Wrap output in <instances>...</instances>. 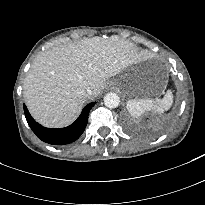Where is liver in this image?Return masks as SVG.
<instances>
[{
    "mask_svg": "<svg viewBox=\"0 0 205 205\" xmlns=\"http://www.w3.org/2000/svg\"><path fill=\"white\" fill-rule=\"evenodd\" d=\"M132 42L116 35L84 38L37 55L23 85L31 115L46 127L71 124L84 104L97 97L106 80L141 60ZM90 87L92 94L86 89Z\"/></svg>",
    "mask_w": 205,
    "mask_h": 205,
    "instance_id": "1",
    "label": "liver"
}]
</instances>
